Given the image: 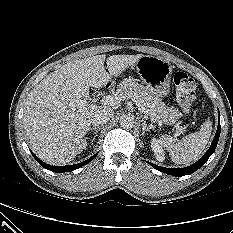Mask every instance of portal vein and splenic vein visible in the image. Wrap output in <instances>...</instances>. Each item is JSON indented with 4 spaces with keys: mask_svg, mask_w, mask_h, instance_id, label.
Masks as SVG:
<instances>
[{
    "mask_svg": "<svg viewBox=\"0 0 233 233\" xmlns=\"http://www.w3.org/2000/svg\"><path fill=\"white\" fill-rule=\"evenodd\" d=\"M102 103L104 105H109V106H115L120 103V99L117 96L114 95H106L102 98ZM139 110L145 114V117L148 118V110L145 109V107L140 103V102H135ZM177 132L179 133L181 128L179 125L176 126ZM178 135V134H177Z\"/></svg>",
    "mask_w": 233,
    "mask_h": 233,
    "instance_id": "1",
    "label": "portal vein and splenic vein"
}]
</instances>
